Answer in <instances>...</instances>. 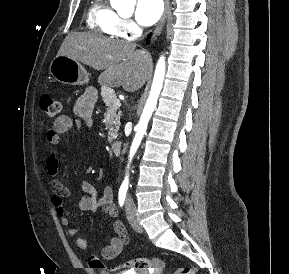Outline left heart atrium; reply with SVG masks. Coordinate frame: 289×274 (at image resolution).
Segmentation results:
<instances>
[{
  "label": "left heart atrium",
  "mask_w": 289,
  "mask_h": 274,
  "mask_svg": "<svg viewBox=\"0 0 289 274\" xmlns=\"http://www.w3.org/2000/svg\"><path fill=\"white\" fill-rule=\"evenodd\" d=\"M163 12V0H138L135 10L137 22L150 26L158 21Z\"/></svg>",
  "instance_id": "39dd6f15"
}]
</instances>
